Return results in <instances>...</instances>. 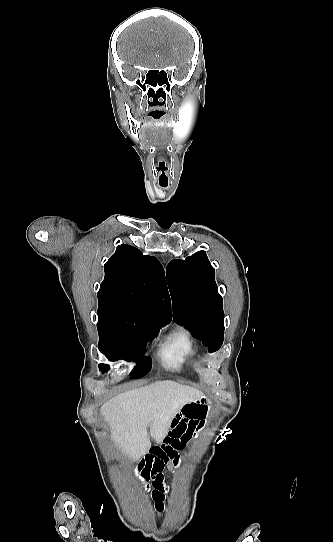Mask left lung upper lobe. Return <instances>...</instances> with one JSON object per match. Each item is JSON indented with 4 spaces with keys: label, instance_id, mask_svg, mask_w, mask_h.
Here are the masks:
<instances>
[{
    "label": "left lung upper lobe",
    "instance_id": "5c2ea615",
    "mask_svg": "<svg viewBox=\"0 0 333 542\" xmlns=\"http://www.w3.org/2000/svg\"><path fill=\"white\" fill-rule=\"evenodd\" d=\"M214 273L204 251L174 259L166 268L174 321L202 340L211 353L221 347L224 335L223 300Z\"/></svg>",
    "mask_w": 333,
    "mask_h": 542
}]
</instances>
